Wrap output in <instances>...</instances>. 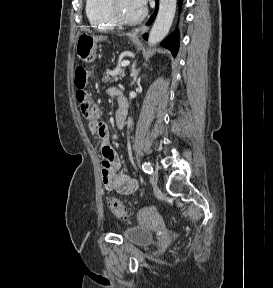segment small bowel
I'll return each mask as SVG.
<instances>
[{
    "instance_id": "obj_1",
    "label": "small bowel",
    "mask_w": 273,
    "mask_h": 288,
    "mask_svg": "<svg viewBox=\"0 0 273 288\" xmlns=\"http://www.w3.org/2000/svg\"><path fill=\"white\" fill-rule=\"evenodd\" d=\"M119 90L116 88H109L107 93L109 95L117 96ZM117 126L123 127L124 122H118L116 119ZM89 130L97 138L100 143L101 152V176L104 187L108 191H115L122 195L133 194L138 184L135 179L119 171V159L114 149L110 144V136L108 127L104 122L101 121H90Z\"/></svg>"
}]
</instances>
